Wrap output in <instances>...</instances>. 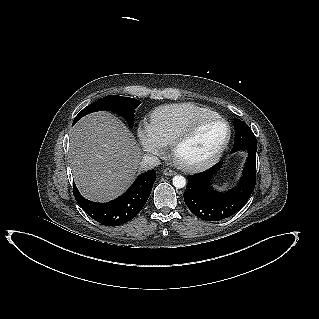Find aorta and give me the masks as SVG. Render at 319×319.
I'll list each match as a JSON object with an SVG mask.
<instances>
[{
  "mask_svg": "<svg viewBox=\"0 0 319 319\" xmlns=\"http://www.w3.org/2000/svg\"><path fill=\"white\" fill-rule=\"evenodd\" d=\"M173 185L176 188H184L186 186V179L185 177L181 176V175H176L173 177L172 179Z\"/></svg>",
  "mask_w": 319,
  "mask_h": 319,
  "instance_id": "762f6f07",
  "label": "aorta"
}]
</instances>
